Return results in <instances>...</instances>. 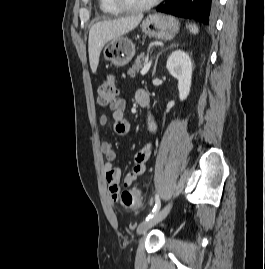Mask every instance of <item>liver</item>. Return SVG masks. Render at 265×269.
I'll use <instances>...</instances> for the list:
<instances>
[{
	"mask_svg": "<svg viewBox=\"0 0 265 269\" xmlns=\"http://www.w3.org/2000/svg\"><path fill=\"white\" fill-rule=\"evenodd\" d=\"M143 15L101 21L94 24L89 31L88 52L93 73L96 72L101 50L111 40L132 31L141 22Z\"/></svg>",
	"mask_w": 265,
	"mask_h": 269,
	"instance_id": "6515ba94",
	"label": "liver"
}]
</instances>
